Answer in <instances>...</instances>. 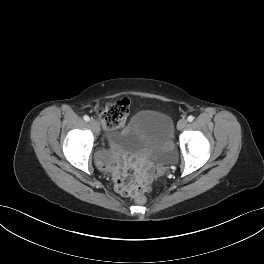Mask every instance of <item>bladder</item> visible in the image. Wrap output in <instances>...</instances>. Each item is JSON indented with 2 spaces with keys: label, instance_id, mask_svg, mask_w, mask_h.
I'll return each mask as SVG.
<instances>
[{
  "label": "bladder",
  "instance_id": "31cf9c89",
  "mask_svg": "<svg viewBox=\"0 0 264 264\" xmlns=\"http://www.w3.org/2000/svg\"><path fill=\"white\" fill-rule=\"evenodd\" d=\"M172 120L156 110H141L122 131L109 132L106 143L124 154L147 153L153 159H166L173 154Z\"/></svg>",
  "mask_w": 264,
  "mask_h": 264
}]
</instances>
